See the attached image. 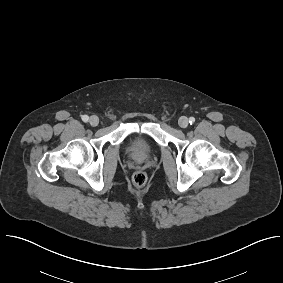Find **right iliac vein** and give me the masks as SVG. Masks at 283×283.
<instances>
[{"instance_id":"63e3f726","label":"right iliac vein","mask_w":283,"mask_h":283,"mask_svg":"<svg viewBox=\"0 0 283 283\" xmlns=\"http://www.w3.org/2000/svg\"><path fill=\"white\" fill-rule=\"evenodd\" d=\"M91 126H97L99 124V118L97 116H91L89 120Z\"/></svg>"}]
</instances>
